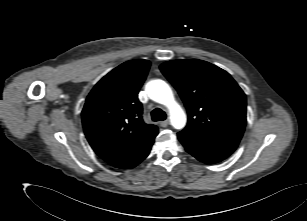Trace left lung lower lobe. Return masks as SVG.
<instances>
[{
  "mask_svg": "<svg viewBox=\"0 0 307 221\" xmlns=\"http://www.w3.org/2000/svg\"><path fill=\"white\" fill-rule=\"evenodd\" d=\"M178 138L188 153L206 164L226 159L239 144L235 141L203 137L184 131L178 133Z\"/></svg>",
  "mask_w": 307,
  "mask_h": 221,
  "instance_id": "1",
  "label": "left lung lower lobe"
}]
</instances>
